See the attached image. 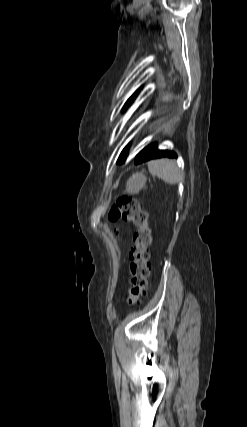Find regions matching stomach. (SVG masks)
I'll return each mask as SVG.
<instances>
[{
    "mask_svg": "<svg viewBox=\"0 0 247 427\" xmlns=\"http://www.w3.org/2000/svg\"><path fill=\"white\" fill-rule=\"evenodd\" d=\"M146 183V176L143 173L133 174L126 183V192L130 194L138 193Z\"/></svg>",
    "mask_w": 247,
    "mask_h": 427,
    "instance_id": "1",
    "label": "stomach"
}]
</instances>
